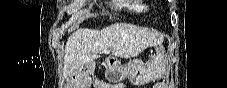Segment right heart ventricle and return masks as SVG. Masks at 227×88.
Wrapping results in <instances>:
<instances>
[{"mask_svg": "<svg viewBox=\"0 0 227 88\" xmlns=\"http://www.w3.org/2000/svg\"><path fill=\"white\" fill-rule=\"evenodd\" d=\"M140 1L138 0H113L114 8L118 11L140 12Z\"/></svg>", "mask_w": 227, "mask_h": 88, "instance_id": "obj_1", "label": "right heart ventricle"}]
</instances>
